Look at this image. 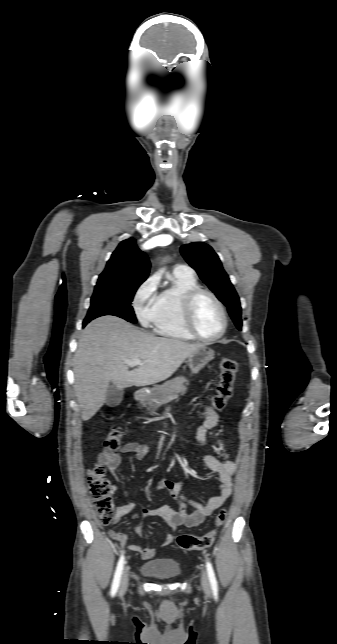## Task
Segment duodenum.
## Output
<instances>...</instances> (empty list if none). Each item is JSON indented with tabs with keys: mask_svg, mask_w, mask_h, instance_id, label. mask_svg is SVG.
Here are the masks:
<instances>
[{
	"mask_svg": "<svg viewBox=\"0 0 337 644\" xmlns=\"http://www.w3.org/2000/svg\"><path fill=\"white\" fill-rule=\"evenodd\" d=\"M144 396H145V393H144V391H142V390H138V391H136V392H135V394H134V398H135L137 401H141V400H143V399H144Z\"/></svg>",
	"mask_w": 337,
	"mask_h": 644,
	"instance_id": "obj_1",
	"label": "duodenum"
}]
</instances>
